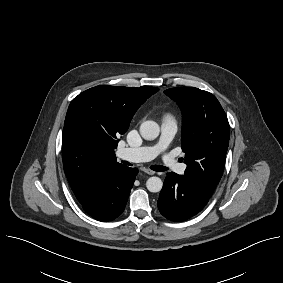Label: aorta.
Instances as JSON below:
<instances>
[{
	"label": "aorta",
	"instance_id": "1",
	"mask_svg": "<svg viewBox=\"0 0 283 283\" xmlns=\"http://www.w3.org/2000/svg\"><path fill=\"white\" fill-rule=\"evenodd\" d=\"M160 127L154 121H145L140 126V134L145 140H154L159 136ZM163 182L159 177H150L146 182V187L150 192L161 191Z\"/></svg>",
	"mask_w": 283,
	"mask_h": 283
}]
</instances>
